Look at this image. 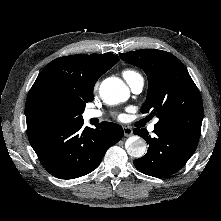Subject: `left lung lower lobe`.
<instances>
[{"label": "left lung lower lobe", "instance_id": "left-lung-lower-lobe-1", "mask_svg": "<svg viewBox=\"0 0 221 221\" xmlns=\"http://www.w3.org/2000/svg\"><path fill=\"white\" fill-rule=\"evenodd\" d=\"M133 133L149 144L146 155L136 159L134 165L139 171L154 177H167L179 171L193 155L199 141L157 127L154 137L149 136L146 129L135 128Z\"/></svg>", "mask_w": 221, "mask_h": 221}]
</instances>
